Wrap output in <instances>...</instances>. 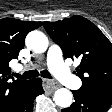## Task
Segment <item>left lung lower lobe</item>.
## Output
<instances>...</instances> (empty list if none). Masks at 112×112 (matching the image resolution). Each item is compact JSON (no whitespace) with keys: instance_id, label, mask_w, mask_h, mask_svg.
<instances>
[{"instance_id":"left-lung-lower-lobe-1","label":"left lung lower lobe","mask_w":112,"mask_h":112,"mask_svg":"<svg viewBox=\"0 0 112 112\" xmlns=\"http://www.w3.org/2000/svg\"><path fill=\"white\" fill-rule=\"evenodd\" d=\"M75 102L61 112H107L112 104V96L72 91Z\"/></svg>"}]
</instances>
